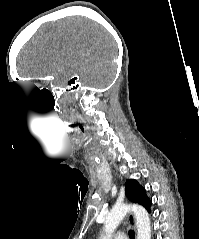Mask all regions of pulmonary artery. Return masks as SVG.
Here are the masks:
<instances>
[{
    "label": "pulmonary artery",
    "mask_w": 199,
    "mask_h": 239,
    "mask_svg": "<svg viewBox=\"0 0 199 239\" xmlns=\"http://www.w3.org/2000/svg\"><path fill=\"white\" fill-rule=\"evenodd\" d=\"M114 239H127V236L123 232H119L114 236Z\"/></svg>",
    "instance_id": "e3ab8cb5"
}]
</instances>
